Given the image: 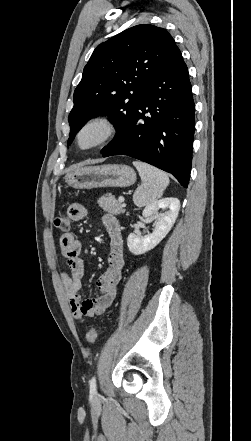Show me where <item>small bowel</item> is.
<instances>
[{
    "mask_svg": "<svg viewBox=\"0 0 251 441\" xmlns=\"http://www.w3.org/2000/svg\"><path fill=\"white\" fill-rule=\"evenodd\" d=\"M87 215V208L81 204L75 203L69 209V216L74 221L82 220ZM102 222L109 235L110 254L108 267L96 282V286L101 293L96 298L81 299L80 290L84 278L81 242L71 233L62 235L60 238V248L69 268V272L62 271L60 277L71 312L74 318L80 321L101 315L112 306L125 266L123 238L119 221L114 215L105 213L102 216Z\"/></svg>",
    "mask_w": 251,
    "mask_h": 441,
    "instance_id": "obj_1",
    "label": "small bowel"
}]
</instances>
